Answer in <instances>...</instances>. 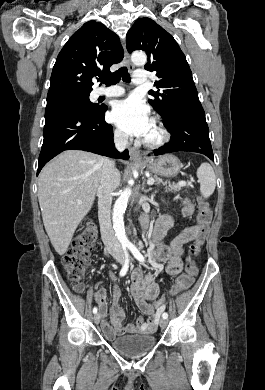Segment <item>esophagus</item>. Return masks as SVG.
I'll return each instance as SVG.
<instances>
[{
    "mask_svg": "<svg viewBox=\"0 0 265 390\" xmlns=\"http://www.w3.org/2000/svg\"><path fill=\"white\" fill-rule=\"evenodd\" d=\"M124 62H125V64H126V66L128 67V69H129L130 71H132V70H133V65H132V63H131V61H130V55H129V53L127 52V50H126L125 47H124ZM129 154H130V158H131L132 160H134V161L140 160L141 154H140V151H139L137 148L131 147V148L129 149Z\"/></svg>",
    "mask_w": 265,
    "mask_h": 390,
    "instance_id": "34e87169",
    "label": "esophagus"
}]
</instances>
